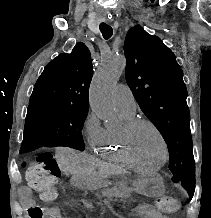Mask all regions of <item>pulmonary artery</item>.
<instances>
[{
    "instance_id": "1",
    "label": "pulmonary artery",
    "mask_w": 211,
    "mask_h": 218,
    "mask_svg": "<svg viewBox=\"0 0 211 218\" xmlns=\"http://www.w3.org/2000/svg\"><path fill=\"white\" fill-rule=\"evenodd\" d=\"M115 103L117 107L130 114L136 112V101L131 89L127 85L120 84L115 89Z\"/></svg>"
}]
</instances>
